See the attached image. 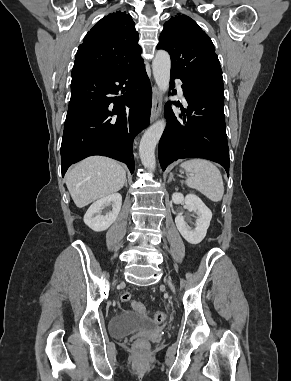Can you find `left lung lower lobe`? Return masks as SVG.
Wrapping results in <instances>:
<instances>
[{"instance_id": "obj_1", "label": "left lung lower lobe", "mask_w": 291, "mask_h": 381, "mask_svg": "<svg viewBox=\"0 0 291 381\" xmlns=\"http://www.w3.org/2000/svg\"><path fill=\"white\" fill-rule=\"evenodd\" d=\"M175 78L171 74V87ZM182 89L188 103L183 116L176 117L170 106L166 109L168 122L158 150L162 169L177 159L205 158L221 164L229 176L224 92L199 90L184 82Z\"/></svg>"}]
</instances>
